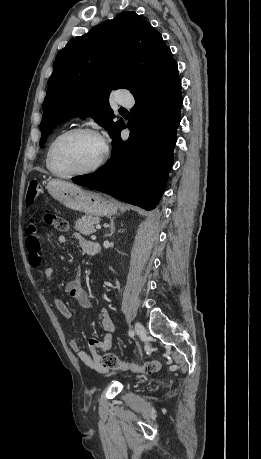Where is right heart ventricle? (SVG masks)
Listing matches in <instances>:
<instances>
[{"instance_id":"1","label":"right heart ventricle","mask_w":261,"mask_h":459,"mask_svg":"<svg viewBox=\"0 0 261 459\" xmlns=\"http://www.w3.org/2000/svg\"><path fill=\"white\" fill-rule=\"evenodd\" d=\"M48 150H49V148H48ZM47 154H48V151H47ZM46 166H47V155H46Z\"/></svg>"}]
</instances>
